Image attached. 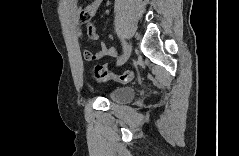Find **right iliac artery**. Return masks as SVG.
Segmentation results:
<instances>
[{
	"label": "right iliac artery",
	"mask_w": 239,
	"mask_h": 156,
	"mask_svg": "<svg viewBox=\"0 0 239 156\" xmlns=\"http://www.w3.org/2000/svg\"><path fill=\"white\" fill-rule=\"evenodd\" d=\"M122 47H123V52H124L127 47V43L124 40L122 41Z\"/></svg>",
	"instance_id": "obj_1"
}]
</instances>
